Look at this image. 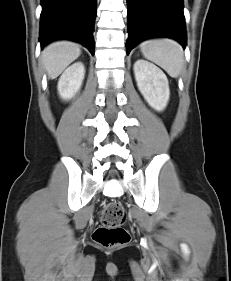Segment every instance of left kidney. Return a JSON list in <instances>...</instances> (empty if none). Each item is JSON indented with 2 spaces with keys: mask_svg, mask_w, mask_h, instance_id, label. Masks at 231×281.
Listing matches in <instances>:
<instances>
[{
  "mask_svg": "<svg viewBox=\"0 0 231 281\" xmlns=\"http://www.w3.org/2000/svg\"><path fill=\"white\" fill-rule=\"evenodd\" d=\"M137 86L147 103L156 111H163L169 101V83L164 72L156 65L137 60L134 64Z\"/></svg>",
  "mask_w": 231,
  "mask_h": 281,
  "instance_id": "1",
  "label": "left kidney"
}]
</instances>
